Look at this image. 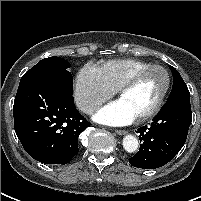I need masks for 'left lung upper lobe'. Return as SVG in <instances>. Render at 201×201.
<instances>
[{"label": "left lung upper lobe", "instance_id": "left-lung-upper-lobe-1", "mask_svg": "<svg viewBox=\"0 0 201 201\" xmlns=\"http://www.w3.org/2000/svg\"><path fill=\"white\" fill-rule=\"evenodd\" d=\"M169 67L173 74V86L168 99L180 95H190L189 90L179 72L173 66Z\"/></svg>", "mask_w": 201, "mask_h": 201}]
</instances>
